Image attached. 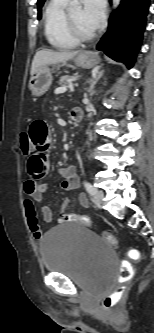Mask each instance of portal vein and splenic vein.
<instances>
[{
    "label": "portal vein and splenic vein",
    "instance_id": "portal-vein-and-splenic-vein-1",
    "mask_svg": "<svg viewBox=\"0 0 154 333\" xmlns=\"http://www.w3.org/2000/svg\"><path fill=\"white\" fill-rule=\"evenodd\" d=\"M70 88H71V90H73V87L72 86H70ZM66 91V88H63V89H57L56 91H55V93H62V92H65Z\"/></svg>",
    "mask_w": 154,
    "mask_h": 333
}]
</instances>
